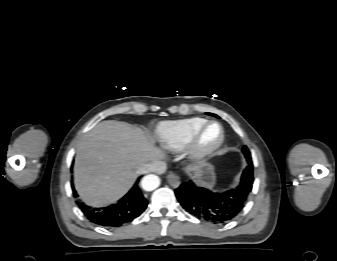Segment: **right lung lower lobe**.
Listing matches in <instances>:
<instances>
[{
  "mask_svg": "<svg viewBox=\"0 0 337 261\" xmlns=\"http://www.w3.org/2000/svg\"><path fill=\"white\" fill-rule=\"evenodd\" d=\"M136 181L132 189L118 201V203L105 208H94L80 203V209L93 223L104 227H120L138 217L147 207L148 201L142 195ZM73 187V184H72ZM75 197V189L73 188Z\"/></svg>",
  "mask_w": 337,
  "mask_h": 261,
  "instance_id": "98d812e1",
  "label": "right lung lower lobe"
}]
</instances>
